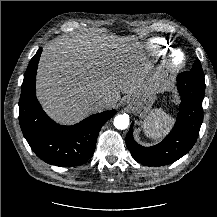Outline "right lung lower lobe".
<instances>
[{"label":"right lung lower lobe","mask_w":217,"mask_h":217,"mask_svg":"<svg viewBox=\"0 0 217 217\" xmlns=\"http://www.w3.org/2000/svg\"><path fill=\"white\" fill-rule=\"evenodd\" d=\"M42 49L31 59L24 74L19 100V122L31 149L43 161L56 166H77L92 156L101 127L115 110L91 115L78 124L61 126L42 110L35 90Z\"/></svg>","instance_id":"1"}]
</instances>
